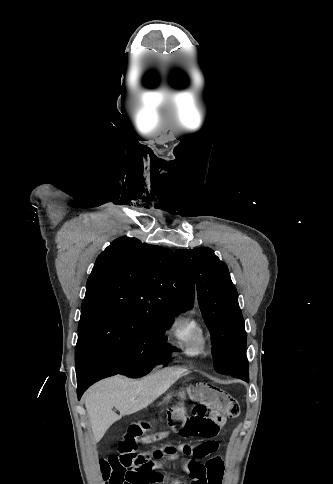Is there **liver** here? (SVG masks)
Segmentation results:
<instances>
[{
  "mask_svg": "<svg viewBox=\"0 0 333 484\" xmlns=\"http://www.w3.org/2000/svg\"><path fill=\"white\" fill-rule=\"evenodd\" d=\"M185 371L183 368H165L139 380L116 375L90 387L85 394V407L95 442H99L122 415H130L149 406ZM113 407L120 411V415L112 411Z\"/></svg>",
  "mask_w": 333,
  "mask_h": 484,
  "instance_id": "obj_1",
  "label": "liver"
}]
</instances>
